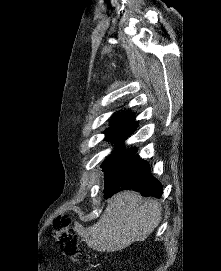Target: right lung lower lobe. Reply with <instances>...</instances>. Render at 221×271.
Masks as SVG:
<instances>
[{
    "label": "right lung lower lobe",
    "mask_w": 221,
    "mask_h": 271,
    "mask_svg": "<svg viewBox=\"0 0 221 271\" xmlns=\"http://www.w3.org/2000/svg\"><path fill=\"white\" fill-rule=\"evenodd\" d=\"M104 194L111 197L123 190H134L142 196L160 198L161 183L151 174L150 166L135 153L126 161L104 171Z\"/></svg>",
    "instance_id": "obj_1"
}]
</instances>
